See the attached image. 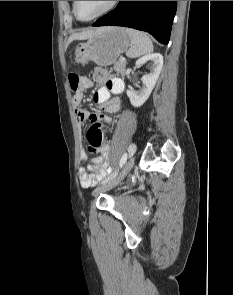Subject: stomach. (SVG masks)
Here are the masks:
<instances>
[{"instance_id": "0dacf381", "label": "stomach", "mask_w": 233, "mask_h": 295, "mask_svg": "<svg viewBox=\"0 0 233 295\" xmlns=\"http://www.w3.org/2000/svg\"><path fill=\"white\" fill-rule=\"evenodd\" d=\"M130 37L122 27H105L104 30L86 42L75 46V60L81 64L92 61L100 66H108L127 51Z\"/></svg>"}]
</instances>
